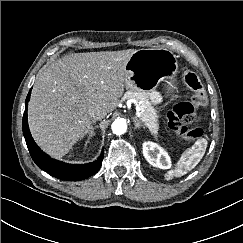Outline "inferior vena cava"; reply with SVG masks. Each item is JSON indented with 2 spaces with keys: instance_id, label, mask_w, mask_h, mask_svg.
<instances>
[{
  "instance_id": "obj_1",
  "label": "inferior vena cava",
  "mask_w": 243,
  "mask_h": 243,
  "mask_svg": "<svg viewBox=\"0 0 243 243\" xmlns=\"http://www.w3.org/2000/svg\"><path fill=\"white\" fill-rule=\"evenodd\" d=\"M107 110L101 106H95L89 110L91 118L95 120H100L107 115Z\"/></svg>"
}]
</instances>
